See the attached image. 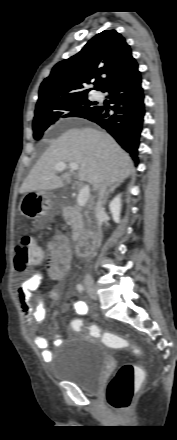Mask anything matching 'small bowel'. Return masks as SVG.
Instances as JSON below:
<instances>
[{
    "label": "small bowel",
    "mask_w": 177,
    "mask_h": 440,
    "mask_svg": "<svg viewBox=\"0 0 177 440\" xmlns=\"http://www.w3.org/2000/svg\"><path fill=\"white\" fill-rule=\"evenodd\" d=\"M71 260L72 252L68 238L62 234L56 235L54 239L48 243L46 249L45 265L50 279L55 282L62 280L70 268ZM42 280L43 274L35 273L28 279L18 283L14 290L25 321L31 326L39 324L46 316L44 301L40 296L33 298L34 305L31 303L33 292L40 287ZM49 297L52 301H57L60 298L59 288H51ZM72 307L79 316H83L88 312V307L83 301L73 302ZM34 343L41 351L44 360L50 361L53 356V351L49 347L48 338L44 335H37L34 338ZM53 343L56 346L62 345L63 337L60 334H56L53 338Z\"/></svg>",
    "instance_id": "obj_1"
}]
</instances>
